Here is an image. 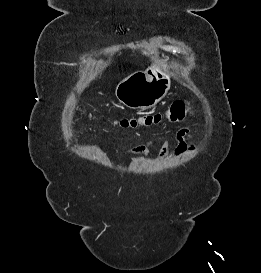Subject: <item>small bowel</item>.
Wrapping results in <instances>:
<instances>
[{"mask_svg":"<svg viewBox=\"0 0 261 273\" xmlns=\"http://www.w3.org/2000/svg\"><path fill=\"white\" fill-rule=\"evenodd\" d=\"M189 130L183 128L179 130L172 138L165 140L162 149L161 156L167 157L171 153L179 157L185 153H191L194 150V146L189 142ZM174 141L177 142V145L174 146ZM151 141L142 143L128 150L126 154L128 155H143L147 156L149 154V145Z\"/></svg>","mask_w":261,"mask_h":273,"instance_id":"obj_1","label":"small bowel"}]
</instances>
